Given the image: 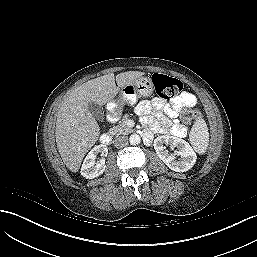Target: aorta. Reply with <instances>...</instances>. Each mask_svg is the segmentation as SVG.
<instances>
[{"mask_svg": "<svg viewBox=\"0 0 257 257\" xmlns=\"http://www.w3.org/2000/svg\"><path fill=\"white\" fill-rule=\"evenodd\" d=\"M129 141H130V144L131 145H138L141 141V138L138 134H132L130 137H129Z\"/></svg>", "mask_w": 257, "mask_h": 257, "instance_id": "aorta-1", "label": "aorta"}]
</instances>
